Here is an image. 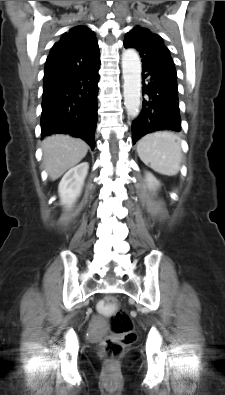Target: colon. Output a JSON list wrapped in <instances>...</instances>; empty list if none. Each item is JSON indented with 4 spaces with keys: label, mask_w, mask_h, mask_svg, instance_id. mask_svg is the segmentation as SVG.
I'll return each mask as SVG.
<instances>
[{
    "label": "colon",
    "mask_w": 225,
    "mask_h": 395,
    "mask_svg": "<svg viewBox=\"0 0 225 395\" xmlns=\"http://www.w3.org/2000/svg\"><path fill=\"white\" fill-rule=\"evenodd\" d=\"M108 304H117L114 297H107L104 301L105 311L108 312ZM112 335L105 337L99 343L103 355L109 361L118 360L125 348L132 345L136 339L133 322L127 312L119 309L118 313L110 315Z\"/></svg>",
    "instance_id": "1"
}]
</instances>
